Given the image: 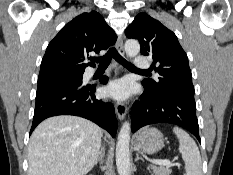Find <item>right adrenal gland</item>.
I'll list each match as a JSON object with an SVG mask.
<instances>
[{
	"label": "right adrenal gland",
	"instance_id": "2a0ac1e0",
	"mask_svg": "<svg viewBox=\"0 0 233 175\" xmlns=\"http://www.w3.org/2000/svg\"><path fill=\"white\" fill-rule=\"evenodd\" d=\"M98 163H99L100 165H102V164L104 163V156H103L102 153H100L99 158H98V160H97V162H96V165H97Z\"/></svg>",
	"mask_w": 233,
	"mask_h": 175
}]
</instances>
